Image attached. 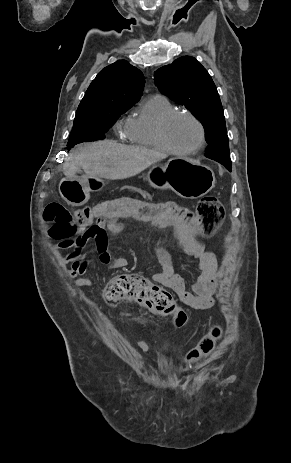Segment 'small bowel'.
<instances>
[{
    "label": "small bowel",
    "mask_w": 291,
    "mask_h": 463,
    "mask_svg": "<svg viewBox=\"0 0 291 463\" xmlns=\"http://www.w3.org/2000/svg\"><path fill=\"white\" fill-rule=\"evenodd\" d=\"M123 218L126 217H108V215L100 217L93 227L79 235L73 245V251L61 257L62 262L71 264L66 275L73 279L75 288L90 287L95 283L92 278L86 276L88 261L84 249L89 241L95 242L100 261L109 269L127 267V260L113 254L108 246V233L118 234L121 232L124 226L120 220ZM140 220L145 221L144 219ZM156 227L172 231L180 244L183 254L197 259L199 275L192 282L190 288H187L186 278L174 272L169 252L161 245L154 244L153 249L162 270L152 274L151 279L171 289L187 307L197 310L212 308L215 305L214 294L218 281L223 276V269L218 265L215 255L204 249L197 238V233L180 231L176 226ZM56 248L65 249L59 243H57Z\"/></svg>",
    "instance_id": "obj_1"
}]
</instances>
